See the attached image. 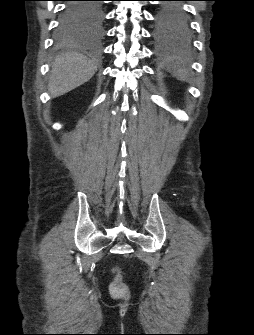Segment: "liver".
<instances>
[{
	"label": "liver",
	"mask_w": 254,
	"mask_h": 335,
	"mask_svg": "<svg viewBox=\"0 0 254 335\" xmlns=\"http://www.w3.org/2000/svg\"><path fill=\"white\" fill-rule=\"evenodd\" d=\"M96 71V63L80 53L58 55L52 63L49 92L61 96L89 81Z\"/></svg>",
	"instance_id": "6515ba94"
}]
</instances>
